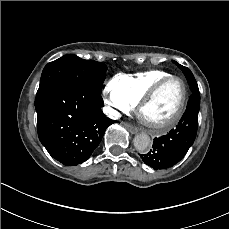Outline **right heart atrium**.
Instances as JSON below:
<instances>
[{"label": "right heart atrium", "instance_id": "right-heart-atrium-1", "mask_svg": "<svg viewBox=\"0 0 229 229\" xmlns=\"http://www.w3.org/2000/svg\"><path fill=\"white\" fill-rule=\"evenodd\" d=\"M103 99L107 105L124 113H129L136 107V103L133 100L122 96L116 91L112 82L104 88Z\"/></svg>", "mask_w": 229, "mask_h": 229}]
</instances>
